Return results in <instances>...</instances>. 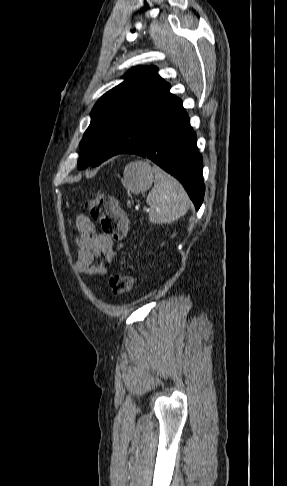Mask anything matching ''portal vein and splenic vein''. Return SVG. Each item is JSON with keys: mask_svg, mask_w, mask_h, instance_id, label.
Here are the masks:
<instances>
[{"mask_svg": "<svg viewBox=\"0 0 287 486\" xmlns=\"http://www.w3.org/2000/svg\"><path fill=\"white\" fill-rule=\"evenodd\" d=\"M144 210H146V211H148L149 209H147V208H144Z\"/></svg>", "mask_w": 287, "mask_h": 486, "instance_id": "portal-vein-and-splenic-vein-1", "label": "portal vein and splenic vein"}]
</instances>
